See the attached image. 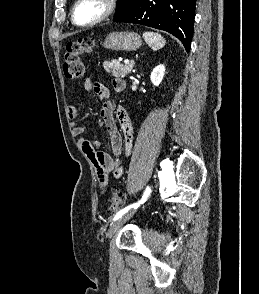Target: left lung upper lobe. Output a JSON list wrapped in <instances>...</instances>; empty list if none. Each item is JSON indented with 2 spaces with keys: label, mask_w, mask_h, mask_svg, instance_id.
<instances>
[{
  "label": "left lung upper lobe",
  "mask_w": 259,
  "mask_h": 294,
  "mask_svg": "<svg viewBox=\"0 0 259 294\" xmlns=\"http://www.w3.org/2000/svg\"><path fill=\"white\" fill-rule=\"evenodd\" d=\"M136 0H118V10L115 16H119L134 7Z\"/></svg>",
  "instance_id": "1"
}]
</instances>
